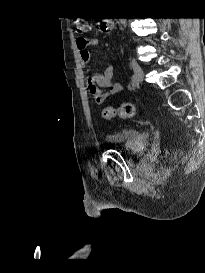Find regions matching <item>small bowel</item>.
Returning <instances> with one entry per match:
<instances>
[{"label": "small bowel", "mask_w": 205, "mask_h": 273, "mask_svg": "<svg viewBox=\"0 0 205 273\" xmlns=\"http://www.w3.org/2000/svg\"><path fill=\"white\" fill-rule=\"evenodd\" d=\"M97 44V38H86L82 36L76 38V46L78 48L82 63H88L91 59V54L88 47L95 46ZM113 76L114 67L112 65H107L100 73L87 75L86 81L88 84V89L96 104H103L109 96L117 94L122 90V84L114 81Z\"/></svg>", "instance_id": "obj_1"}]
</instances>
